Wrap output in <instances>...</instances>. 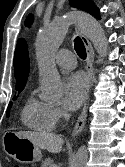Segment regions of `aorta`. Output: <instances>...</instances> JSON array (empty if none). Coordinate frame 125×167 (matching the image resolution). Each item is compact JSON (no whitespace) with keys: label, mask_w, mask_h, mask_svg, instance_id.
Listing matches in <instances>:
<instances>
[{"label":"aorta","mask_w":125,"mask_h":167,"mask_svg":"<svg viewBox=\"0 0 125 167\" xmlns=\"http://www.w3.org/2000/svg\"><path fill=\"white\" fill-rule=\"evenodd\" d=\"M72 23H75L80 31L90 39L101 57L107 55L108 43L104 30L89 14L73 12L54 20L39 32L36 43L43 100L56 102L62 97V83L53 56L62 44L69 25ZM87 160L88 152L83 146L75 154L70 167H86Z\"/></svg>","instance_id":"762f6f07"}]
</instances>
